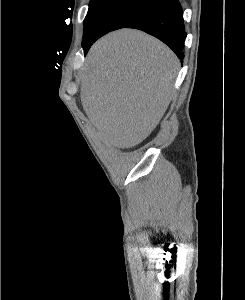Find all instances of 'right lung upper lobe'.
<instances>
[{"instance_id": "cb5924a9", "label": "right lung upper lobe", "mask_w": 245, "mask_h": 300, "mask_svg": "<svg viewBox=\"0 0 245 300\" xmlns=\"http://www.w3.org/2000/svg\"><path fill=\"white\" fill-rule=\"evenodd\" d=\"M155 1H158V2L162 3V2H164V1H166V0H155Z\"/></svg>"}]
</instances>
